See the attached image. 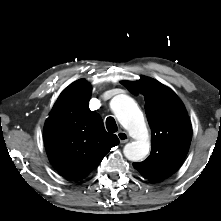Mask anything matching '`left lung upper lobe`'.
I'll return each mask as SVG.
<instances>
[{
    "instance_id": "left-lung-upper-lobe-1",
    "label": "left lung upper lobe",
    "mask_w": 221,
    "mask_h": 221,
    "mask_svg": "<svg viewBox=\"0 0 221 221\" xmlns=\"http://www.w3.org/2000/svg\"><path fill=\"white\" fill-rule=\"evenodd\" d=\"M122 84L131 93L144 96L152 130L150 156L133 166L150 181L160 182L171 176L187 155L192 137L188 114L178 96L152 78L142 76L140 80Z\"/></svg>"
}]
</instances>
